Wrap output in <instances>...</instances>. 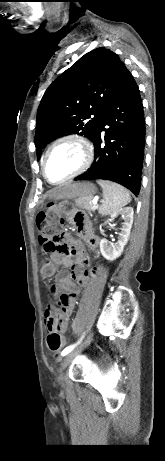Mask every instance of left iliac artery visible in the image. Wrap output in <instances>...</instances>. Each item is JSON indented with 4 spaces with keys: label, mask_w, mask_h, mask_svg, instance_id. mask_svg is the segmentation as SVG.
<instances>
[{
    "label": "left iliac artery",
    "mask_w": 165,
    "mask_h": 461,
    "mask_svg": "<svg viewBox=\"0 0 165 461\" xmlns=\"http://www.w3.org/2000/svg\"><path fill=\"white\" fill-rule=\"evenodd\" d=\"M74 346H75V345L66 347V348L62 351V355H63V356L67 355V354L74 348Z\"/></svg>",
    "instance_id": "obj_1"
}]
</instances>
